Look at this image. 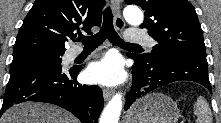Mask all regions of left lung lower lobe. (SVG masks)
<instances>
[{"instance_id":"0a47b994","label":"left lung lower lobe","mask_w":221,"mask_h":123,"mask_svg":"<svg viewBox=\"0 0 221 123\" xmlns=\"http://www.w3.org/2000/svg\"><path fill=\"white\" fill-rule=\"evenodd\" d=\"M128 57L135 61L132 67L134 88L126 96L125 110L138 98L174 81H194L212 93L206 58L194 55H176L146 60L134 54H128Z\"/></svg>"}]
</instances>
